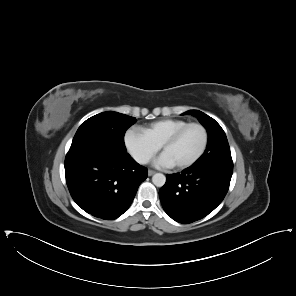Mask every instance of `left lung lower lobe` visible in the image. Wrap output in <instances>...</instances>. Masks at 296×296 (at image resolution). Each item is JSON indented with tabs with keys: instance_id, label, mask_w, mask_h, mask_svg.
<instances>
[{
	"instance_id": "left-lung-lower-lobe-1",
	"label": "left lung lower lobe",
	"mask_w": 296,
	"mask_h": 296,
	"mask_svg": "<svg viewBox=\"0 0 296 296\" xmlns=\"http://www.w3.org/2000/svg\"><path fill=\"white\" fill-rule=\"evenodd\" d=\"M232 172L233 163H194L181 173L167 175L159 191L165 212L184 224L204 218L224 199Z\"/></svg>"
}]
</instances>
